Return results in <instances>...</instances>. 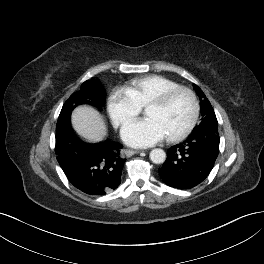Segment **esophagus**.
I'll list each match as a JSON object with an SVG mask.
<instances>
[{"label": "esophagus", "mask_w": 264, "mask_h": 264, "mask_svg": "<svg viewBox=\"0 0 264 264\" xmlns=\"http://www.w3.org/2000/svg\"><path fill=\"white\" fill-rule=\"evenodd\" d=\"M127 152V154L129 155V156H131V155H134V154H138V153H140L141 151L140 150H127L126 151Z\"/></svg>", "instance_id": "34e87169"}]
</instances>
